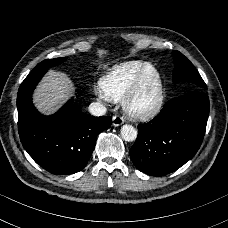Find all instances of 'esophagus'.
<instances>
[{"label": "esophagus", "instance_id": "34e87169", "mask_svg": "<svg viewBox=\"0 0 228 228\" xmlns=\"http://www.w3.org/2000/svg\"><path fill=\"white\" fill-rule=\"evenodd\" d=\"M112 121H113V126H116V127L121 126L124 123V119L119 115L113 116Z\"/></svg>", "mask_w": 228, "mask_h": 228}]
</instances>
